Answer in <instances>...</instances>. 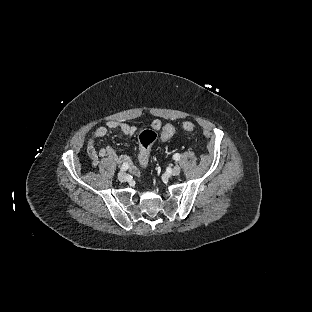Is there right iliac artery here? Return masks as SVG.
Masks as SVG:
<instances>
[{"label":"right iliac artery","instance_id":"obj_1","mask_svg":"<svg viewBox=\"0 0 312 312\" xmlns=\"http://www.w3.org/2000/svg\"><path fill=\"white\" fill-rule=\"evenodd\" d=\"M129 168V164L127 162H124L121 166V171H126Z\"/></svg>","mask_w":312,"mask_h":312}]
</instances>
